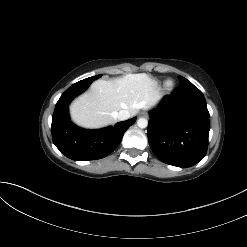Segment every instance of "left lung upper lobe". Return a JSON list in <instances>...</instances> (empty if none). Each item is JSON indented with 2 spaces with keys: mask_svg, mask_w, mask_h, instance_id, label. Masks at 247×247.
Listing matches in <instances>:
<instances>
[{
  "mask_svg": "<svg viewBox=\"0 0 247 247\" xmlns=\"http://www.w3.org/2000/svg\"><path fill=\"white\" fill-rule=\"evenodd\" d=\"M179 79L181 81V84L189 83V81L187 79H185L184 77H182V76H179Z\"/></svg>",
  "mask_w": 247,
  "mask_h": 247,
  "instance_id": "obj_1",
  "label": "left lung upper lobe"
}]
</instances>
